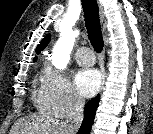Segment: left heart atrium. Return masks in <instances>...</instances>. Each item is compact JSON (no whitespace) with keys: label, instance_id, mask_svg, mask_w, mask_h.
<instances>
[{"label":"left heart atrium","instance_id":"obj_1","mask_svg":"<svg viewBox=\"0 0 153 134\" xmlns=\"http://www.w3.org/2000/svg\"><path fill=\"white\" fill-rule=\"evenodd\" d=\"M74 80L77 90L85 97L93 96L98 91L101 84L100 74L95 69L78 71Z\"/></svg>","mask_w":153,"mask_h":134}]
</instances>
